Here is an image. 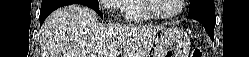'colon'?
I'll return each mask as SVG.
<instances>
[{"mask_svg": "<svg viewBox=\"0 0 249 57\" xmlns=\"http://www.w3.org/2000/svg\"><path fill=\"white\" fill-rule=\"evenodd\" d=\"M191 57H204V53L201 49L195 48L191 52Z\"/></svg>", "mask_w": 249, "mask_h": 57, "instance_id": "obj_1", "label": "colon"}]
</instances>
